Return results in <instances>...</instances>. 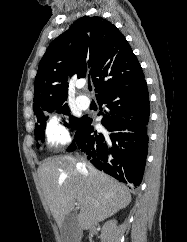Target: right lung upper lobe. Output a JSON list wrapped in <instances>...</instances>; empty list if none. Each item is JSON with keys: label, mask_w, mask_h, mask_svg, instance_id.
I'll list each match as a JSON object with an SVG mask.
<instances>
[{"label": "right lung upper lobe", "mask_w": 187, "mask_h": 242, "mask_svg": "<svg viewBox=\"0 0 187 242\" xmlns=\"http://www.w3.org/2000/svg\"><path fill=\"white\" fill-rule=\"evenodd\" d=\"M143 76L124 35L102 17L84 16L48 46L34 83L33 110L38 115L62 107L73 78H91L97 98Z\"/></svg>", "instance_id": "obj_1"}]
</instances>
